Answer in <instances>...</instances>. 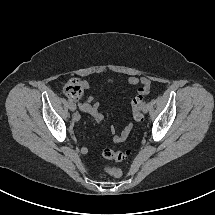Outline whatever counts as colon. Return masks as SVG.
Listing matches in <instances>:
<instances>
[{"mask_svg": "<svg viewBox=\"0 0 215 215\" xmlns=\"http://www.w3.org/2000/svg\"><path fill=\"white\" fill-rule=\"evenodd\" d=\"M64 93L71 99L77 100L83 93V84L77 78L69 79L63 87ZM149 88L146 86H142L138 89L136 96L133 98L131 105L133 111V117L137 122H141L143 120V116L141 113V106L143 104L145 96L148 94ZM129 155L128 151H115L112 149H105L103 151V157L108 160L113 161H123ZM105 172L115 178H119L122 176L123 172L120 168L114 166L105 167Z\"/></svg>", "mask_w": 215, "mask_h": 215, "instance_id": "5ec220e1", "label": "colon"}]
</instances>
